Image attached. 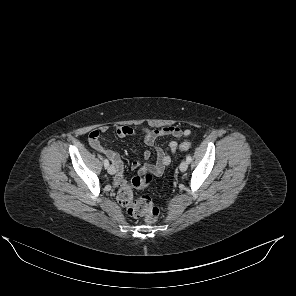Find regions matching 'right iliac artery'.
Instances as JSON below:
<instances>
[{"label":"right iliac artery","instance_id":"82829eb1","mask_svg":"<svg viewBox=\"0 0 296 296\" xmlns=\"http://www.w3.org/2000/svg\"><path fill=\"white\" fill-rule=\"evenodd\" d=\"M104 166L107 168L109 166V161L107 159L104 160Z\"/></svg>","mask_w":296,"mask_h":296}]
</instances>
